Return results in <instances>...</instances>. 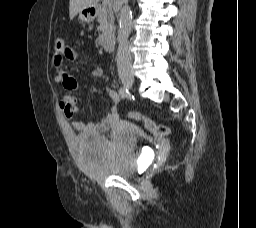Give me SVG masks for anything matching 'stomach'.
Listing matches in <instances>:
<instances>
[{
	"instance_id": "stomach-1",
	"label": "stomach",
	"mask_w": 256,
	"mask_h": 228,
	"mask_svg": "<svg viewBox=\"0 0 256 228\" xmlns=\"http://www.w3.org/2000/svg\"><path fill=\"white\" fill-rule=\"evenodd\" d=\"M95 18V12L92 8H85L79 12V20L82 22L89 23Z\"/></svg>"
}]
</instances>
